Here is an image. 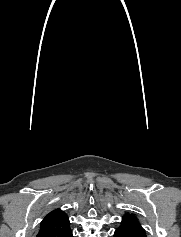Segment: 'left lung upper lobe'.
<instances>
[{"mask_svg": "<svg viewBox=\"0 0 181 237\" xmlns=\"http://www.w3.org/2000/svg\"><path fill=\"white\" fill-rule=\"evenodd\" d=\"M118 229L119 230L138 229L144 231V229L142 228V226L140 225L138 219L134 214H125L123 216L121 226Z\"/></svg>", "mask_w": 181, "mask_h": 237, "instance_id": "5c2ea615", "label": "left lung upper lobe"}]
</instances>
